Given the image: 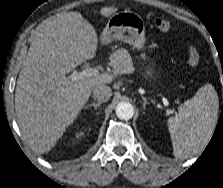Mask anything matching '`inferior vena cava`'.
<instances>
[{
	"mask_svg": "<svg viewBox=\"0 0 223 188\" xmlns=\"http://www.w3.org/2000/svg\"><path fill=\"white\" fill-rule=\"evenodd\" d=\"M93 98L99 102L109 100L112 95L111 88L106 85H100L92 90Z\"/></svg>",
	"mask_w": 223,
	"mask_h": 188,
	"instance_id": "1",
	"label": "inferior vena cava"
}]
</instances>
